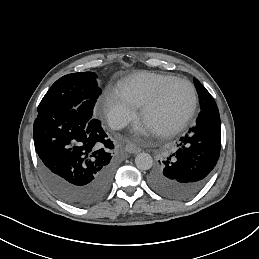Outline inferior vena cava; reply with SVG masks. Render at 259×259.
<instances>
[{
  "label": "inferior vena cava",
  "instance_id": "inferior-vena-cava-1",
  "mask_svg": "<svg viewBox=\"0 0 259 259\" xmlns=\"http://www.w3.org/2000/svg\"><path fill=\"white\" fill-rule=\"evenodd\" d=\"M109 126L113 130H120L127 126V118L121 115H114L112 116L109 121Z\"/></svg>",
  "mask_w": 259,
  "mask_h": 259
}]
</instances>
